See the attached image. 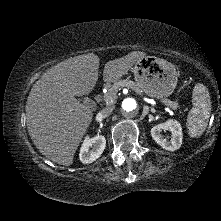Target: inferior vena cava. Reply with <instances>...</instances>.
<instances>
[{
	"instance_id": "1",
	"label": "inferior vena cava",
	"mask_w": 221,
	"mask_h": 221,
	"mask_svg": "<svg viewBox=\"0 0 221 221\" xmlns=\"http://www.w3.org/2000/svg\"><path fill=\"white\" fill-rule=\"evenodd\" d=\"M113 109L114 107L109 105L101 110L100 115L103 117H108L111 115Z\"/></svg>"
}]
</instances>
